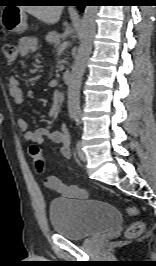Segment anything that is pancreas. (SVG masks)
I'll return each mask as SVG.
<instances>
[{
	"instance_id": "pancreas-1",
	"label": "pancreas",
	"mask_w": 156,
	"mask_h": 266,
	"mask_svg": "<svg viewBox=\"0 0 156 266\" xmlns=\"http://www.w3.org/2000/svg\"><path fill=\"white\" fill-rule=\"evenodd\" d=\"M45 39L47 42L53 44L54 46H58L60 43V35L55 31L49 32Z\"/></svg>"
}]
</instances>
